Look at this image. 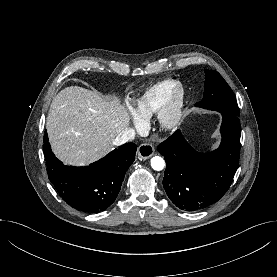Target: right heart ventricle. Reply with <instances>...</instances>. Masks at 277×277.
I'll use <instances>...</instances> for the list:
<instances>
[{
    "instance_id": "obj_1",
    "label": "right heart ventricle",
    "mask_w": 277,
    "mask_h": 277,
    "mask_svg": "<svg viewBox=\"0 0 277 277\" xmlns=\"http://www.w3.org/2000/svg\"><path fill=\"white\" fill-rule=\"evenodd\" d=\"M174 80H163L148 88L133 105L134 113L141 119H146L154 115L170 90L175 86Z\"/></svg>"
}]
</instances>
